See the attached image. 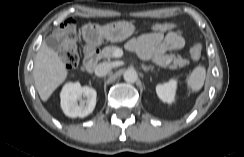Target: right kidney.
Here are the masks:
<instances>
[{
  "label": "right kidney",
  "instance_id": "1",
  "mask_svg": "<svg viewBox=\"0 0 244 157\" xmlns=\"http://www.w3.org/2000/svg\"><path fill=\"white\" fill-rule=\"evenodd\" d=\"M96 96V91L91 87H81L79 82L67 83L60 94L61 108L68 117H86L95 108Z\"/></svg>",
  "mask_w": 244,
  "mask_h": 157
}]
</instances>
